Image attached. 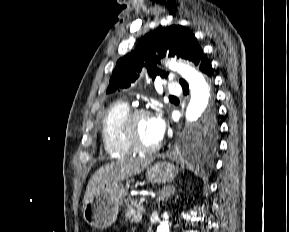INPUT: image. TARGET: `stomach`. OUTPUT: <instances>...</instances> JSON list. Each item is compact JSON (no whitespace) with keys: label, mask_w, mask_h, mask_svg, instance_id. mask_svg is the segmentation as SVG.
I'll list each match as a JSON object with an SVG mask.
<instances>
[{"label":"stomach","mask_w":289,"mask_h":232,"mask_svg":"<svg viewBox=\"0 0 289 232\" xmlns=\"http://www.w3.org/2000/svg\"><path fill=\"white\" fill-rule=\"evenodd\" d=\"M176 168L166 162H157L146 169V177L152 184H165L174 179ZM128 195L127 186L122 183L109 191L94 196L83 207L84 220L97 229H105L117 218L119 206Z\"/></svg>","instance_id":"stomach-1"}]
</instances>
